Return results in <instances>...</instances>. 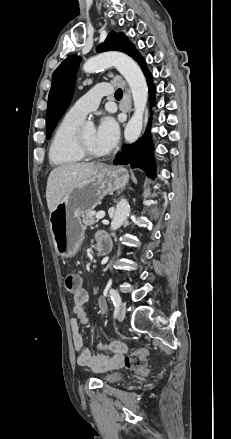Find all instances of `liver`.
I'll list each match as a JSON object with an SVG mask.
<instances>
[{
    "label": "liver",
    "instance_id": "1",
    "mask_svg": "<svg viewBox=\"0 0 231 439\" xmlns=\"http://www.w3.org/2000/svg\"><path fill=\"white\" fill-rule=\"evenodd\" d=\"M103 164L73 163L54 168L48 177L46 200L50 213L79 182L96 175Z\"/></svg>",
    "mask_w": 231,
    "mask_h": 439
}]
</instances>
